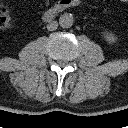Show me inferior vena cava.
Segmentation results:
<instances>
[{
  "label": "inferior vena cava",
  "mask_w": 128,
  "mask_h": 128,
  "mask_svg": "<svg viewBox=\"0 0 128 128\" xmlns=\"http://www.w3.org/2000/svg\"><path fill=\"white\" fill-rule=\"evenodd\" d=\"M58 28V22L57 21H52L47 25V29L49 31H54Z\"/></svg>",
  "instance_id": "obj_1"
}]
</instances>
